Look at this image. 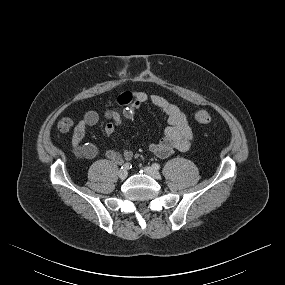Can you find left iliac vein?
I'll return each mask as SVG.
<instances>
[{
  "mask_svg": "<svg viewBox=\"0 0 285 285\" xmlns=\"http://www.w3.org/2000/svg\"><path fill=\"white\" fill-rule=\"evenodd\" d=\"M144 172L154 179L158 180L161 178L160 173L156 169H154L153 167H144Z\"/></svg>",
  "mask_w": 285,
  "mask_h": 285,
  "instance_id": "1",
  "label": "left iliac vein"
}]
</instances>
